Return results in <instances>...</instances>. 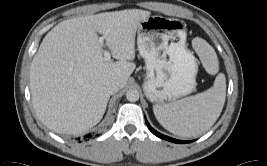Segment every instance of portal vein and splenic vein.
Wrapping results in <instances>:
<instances>
[{
	"label": "portal vein and splenic vein",
	"mask_w": 267,
	"mask_h": 166,
	"mask_svg": "<svg viewBox=\"0 0 267 166\" xmlns=\"http://www.w3.org/2000/svg\"><path fill=\"white\" fill-rule=\"evenodd\" d=\"M98 41H99V43H100L101 45H104V37H100V38L98 39ZM104 59H105L106 61H110V59H111V54H110V52H109L108 50H105V51H104Z\"/></svg>",
	"instance_id": "18ae733b"
}]
</instances>
